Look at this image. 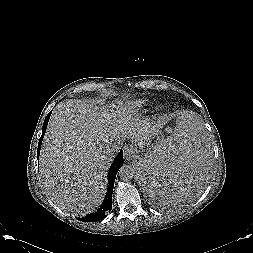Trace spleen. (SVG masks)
I'll return each instance as SVG.
<instances>
[{
	"label": "spleen",
	"instance_id": "3e777b00",
	"mask_svg": "<svg viewBox=\"0 0 253 253\" xmlns=\"http://www.w3.org/2000/svg\"><path fill=\"white\" fill-rule=\"evenodd\" d=\"M208 126L193 111L177 114L153 159L140 171L142 188L155 199L178 203L201 186L210 160Z\"/></svg>",
	"mask_w": 253,
	"mask_h": 253
}]
</instances>
